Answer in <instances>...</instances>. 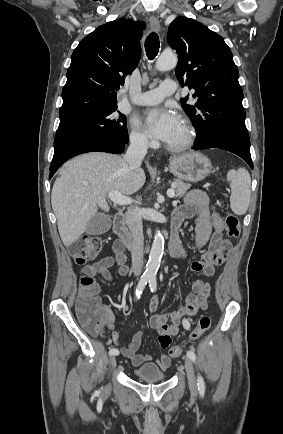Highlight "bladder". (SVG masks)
I'll list each match as a JSON object with an SVG mask.
<instances>
[{"label":"bladder","instance_id":"1","mask_svg":"<svg viewBox=\"0 0 283 434\" xmlns=\"http://www.w3.org/2000/svg\"><path fill=\"white\" fill-rule=\"evenodd\" d=\"M137 380L143 382H160L166 379V374L155 364L149 363L133 371Z\"/></svg>","mask_w":283,"mask_h":434}]
</instances>
